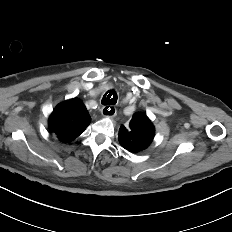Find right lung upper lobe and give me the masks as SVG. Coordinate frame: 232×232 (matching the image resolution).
<instances>
[{"label": "right lung upper lobe", "instance_id": "cb5924a9", "mask_svg": "<svg viewBox=\"0 0 232 232\" xmlns=\"http://www.w3.org/2000/svg\"><path fill=\"white\" fill-rule=\"evenodd\" d=\"M91 118L83 102L78 98L66 100L56 106L48 120L50 133L60 141L71 142L82 134Z\"/></svg>", "mask_w": 232, "mask_h": 232}]
</instances>
